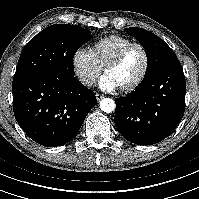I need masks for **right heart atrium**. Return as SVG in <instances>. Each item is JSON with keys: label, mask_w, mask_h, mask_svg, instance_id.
<instances>
[{"label": "right heart atrium", "mask_w": 199, "mask_h": 199, "mask_svg": "<svg viewBox=\"0 0 199 199\" xmlns=\"http://www.w3.org/2000/svg\"><path fill=\"white\" fill-rule=\"evenodd\" d=\"M72 68L78 80L87 87L94 85L101 74V69L96 65L91 53L83 47L74 52Z\"/></svg>", "instance_id": "obj_1"}]
</instances>
